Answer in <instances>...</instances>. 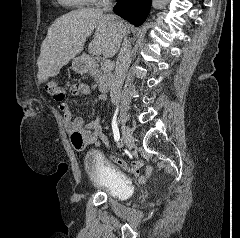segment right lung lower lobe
<instances>
[{
  "mask_svg": "<svg viewBox=\"0 0 240 238\" xmlns=\"http://www.w3.org/2000/svg\"><path fill=\"white\" fill-rule=\"evenodd\" d=\"M152 0H118L113 11L133 25H141L149 13Z\"/></svg>",
  "mask_w": 240,
  "mask_h": 238,
  "instance_id": "98d812e1",
  "label": "right lung lower lobe"
}]
</instances>
